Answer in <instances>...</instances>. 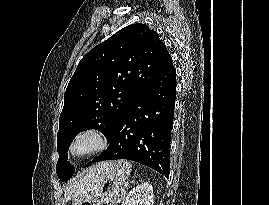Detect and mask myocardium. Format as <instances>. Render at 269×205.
<instances>
[{"label":"myocardium","mask_w":269,"mask_h":205,"mask_svg":"<svg viewBox=\"0 0 269 205\" xmlns=\"http://www.w3.org/2000/svg\"><path fill=\"white\" fill-rule=\"evenodd\" d=\"M90 137L94 140V146L87 152L77 154L74 152L75 144L82 138ZM109 146V137L99 126H87L78 130L71 138L68 145V153L71 157L82 159L105 151Z\"/></svg>","instance_id":"obj_1"}]
</instances>
